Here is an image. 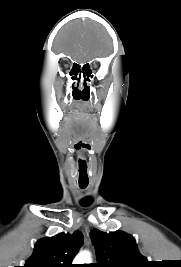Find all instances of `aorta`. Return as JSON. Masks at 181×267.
Listing matches in <instances>:
<instances>
[{
	"label": "aorta",
	"instance_id": "obj_1",
	"mask_svg": "<svg viewBox=\"0 0 181 267\" xmlns=\"http://www.w3.org/2000/svg\"><path fill=\"white\" fill-rule=\"evenodd\" d=\"M74 262L76 264H87L91 262V253L89 251H81L75 257Z\"/></svg>",
	"mask_w": 181,
	"mask_h": 267
}]
</instances>
